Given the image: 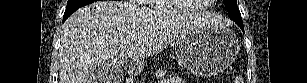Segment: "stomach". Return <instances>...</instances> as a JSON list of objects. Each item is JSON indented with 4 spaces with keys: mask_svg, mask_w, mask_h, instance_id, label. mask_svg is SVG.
<instances>
[{
    "mask_svg": "<svg viewBox=\"0 0 307 83\" xmlns=\"http://www.w3.org/2000/svg\"><path fill=\"white\" fill-rule=\"evenodd\" d=\"M238 52L239 41L230 29H199L176 39L179 62L197 76L220 73L235 60Z\"/></svg>",
    "mask_w": 307,
    "mask_h": 83,
    "instance_id": "0dacf381",
    "label": "stomach"
}]
</instances>
